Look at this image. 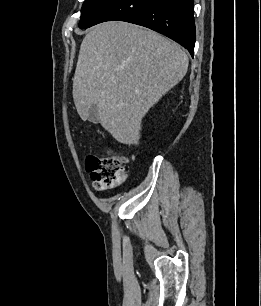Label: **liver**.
<instances>
[{
	"label": "liver",
	"mask_w": 261,
	"mask_h": 306,
	"mask_svg": "<svg viewBox=\"0 0 261 306\" xmlns=\"http://www.w3.org/2000/svg\"><path fill=\"white\" fill-rule=\"evenodd\" d=\"M188 56L177 43L138 25L110 21L84 37L73 79L77 112L97 105L101 125L120 143L137 145L148 110L186 75Z\"/></svg>",
	"instance_id": "6515ba94"
}]
</instances>
